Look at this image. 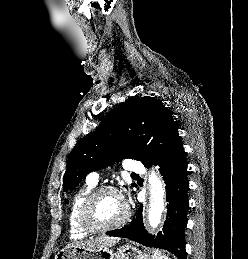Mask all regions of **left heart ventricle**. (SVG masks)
<instances>
[{
    "mask_svg": "<svg viewBox=\"0 0 248 259\" xmlns=\"http://www.w3.org/2000/svg\"><path fill=\"white\" fill-rule=\"evenodd\" d=\"M125 212L123 199L115 193H104L93 206V219L97 224L106 225L118 221Z\"/></svg>",
    "mask_w": 248,
    "mask_h": 259,
    "instance_id": "left-heart-ventricle-1",
    "label": "left heart ventricle"
}]
</instances>
